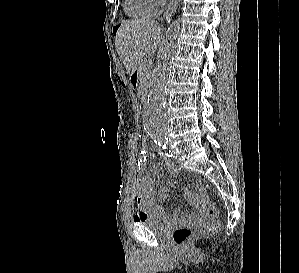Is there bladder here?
<instances>
[{
	"label": "bladder",
	"mask_w": 299,
	"mask_h": 273,
	"mask_svg": "<svg viewBox=\"0 0 299 273\" xmlns=\"http://www.w3.org/2000/svg\"><path fill=\"white\" fill-rule=\"evenodd\" d=\"M137 223L146 226L147 228L163 233L165 231V223L162 218L153 213H147L141 220H138Z\"/></svg>",
	"instance_id": "1"
}]
</instances>
